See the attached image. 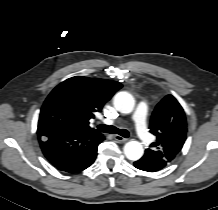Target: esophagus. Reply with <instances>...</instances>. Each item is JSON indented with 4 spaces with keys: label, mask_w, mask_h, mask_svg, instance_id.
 <instances>
[{
    "label": "esophagus",
    "mask_w": 218,
    "mask_h": 210,
    "mask_svg": "<svg viewBox=\"0 0 218 210\" xmlns=\"http://www.w3.org/2000/svg\"><path fill=\"white\" fill-rule=\"evenodd\" d=\"M114 139L117 141V142H120V143H125L128 141L127 138H124L122 137L121 135H114Z\"/></svg>",
    "instance_id": "34e87169"
}]
</instances>
